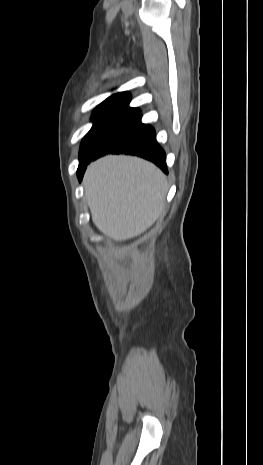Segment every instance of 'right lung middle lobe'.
Wrapping results in <instances>:
<instances>
[{"mask_svg":"<svg viewBox=\"0 0 263 465\" xmlns=\"http://www.w3.org/2000/svg\"><path fill=\"white\" fill-rule=\"evenodd\" d=\"M129 101H106L94 111V125L84 137L79 153V166L84 165L99 149L109 133L133 110Z\"/></svg>","mask_w":263,"mask_h":465,"instance_id":"1","label":"right lung middle lobe"}]
</instances>
